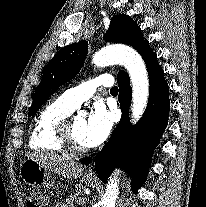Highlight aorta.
Here are the masks:
<instances>
[{"instance_id":"762f6f07","label":"aorta","mask_w":206,"mask_h":207,"mask_svg":"<svg viewBox=\"0 0 206 207\" xmlns=\"http://www.w3.org/2000/svg\"><path fill=\"white\" fill-rule=\"evenodd\" d=\"M93 63L98 67L121 64L127 69L133 91L132 121L136 123L144 113L149 96L148 73L142 57L130 47L116 45L105 47L95 53ZM118 177V171L110 177L103 197V207H115L119 191Z\"/></svg>"}]
</instances>
